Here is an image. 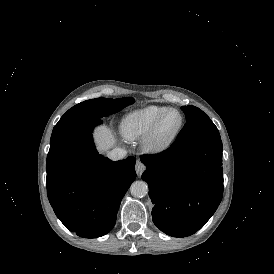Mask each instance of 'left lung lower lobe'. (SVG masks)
<instances>
[{
	"instance_id": "1",
	"label": "left lung lower lobe",
	"mask_w": 274,
	"mask_h": 274,
	"mask_svg": "<svg viewBox=\"0 0 274 274\" xmlns=\"http://www.w3.org/2000/svg\"><path fill=\"white\" fill-rule=\"evenodd\" d=\"M154 224L173 237L198 231L223 195L222 141L202 137L175 141L156 155H142Z\"/></svg>"
}]
</instances>
